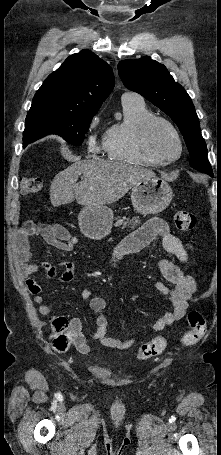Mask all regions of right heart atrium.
Returning a JSON list of instances; mask_svg holds the SVG:
<instances>
[{
    "label": "right heart atrium",
    "mask_w": 221,
    "mask_h": 455,
    "mask_svg": "<svg viewBox=\"0 0 221 455\" xmlns=\"http://www.w3.org/2000/svg\"><path fill=\"white\" fill-rule=\"evenodd\" d=\"M99 121V116L95 115L87 126L86 145L92 153L100 152L103 148L104 135L100 133Z\"/></svg>",
    "instance_id": "1"
}]
</instances>
